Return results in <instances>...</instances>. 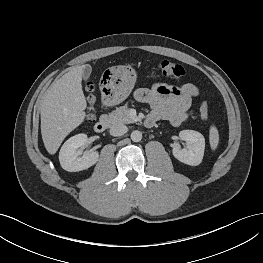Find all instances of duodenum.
Listing matches in <instances>:
<instances>
[{"mask_svg":"<svg viewBox=\"0 0 263 263\" xmlns=\"http://www.w3.org/2000/svg\"><path fill=\"white\" fill-rule=\"evenodd\" d=\"M108 124H109V119L107 117L102 118L95 122L94 131L96 133H103L107 129ZM145 124L148 126L154 125L151 119H146Z\"/></svg>","mask_w":263,"mask_h":263,"instance_id":"1","label":"duodenum"}]
</instances>
